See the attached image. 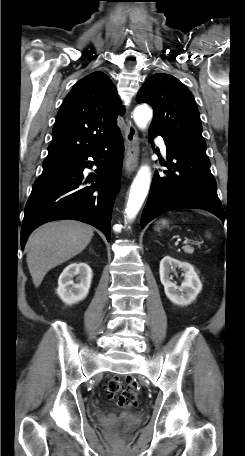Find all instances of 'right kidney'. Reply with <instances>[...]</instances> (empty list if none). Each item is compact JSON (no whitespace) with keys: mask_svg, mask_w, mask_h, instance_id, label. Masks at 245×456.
I'll return each instance as SVG.
<instances>
[{"mask_svg":"<svg viewBox=\"0 0 245 456\" xmlns=\"http://www.w3.org/2000/svg\"><path fill=\"white\" fill-rule=\"evenodd\" d=\"M76 276L75 280L73 278ZM92 280V269L86 263H71L58 279L57 294L68 305L78 303L86 298Z\"/></svg>","mask_w":245,"mask_h":456,"instance_id":"1","label":"right kidney"}]
</instances>
